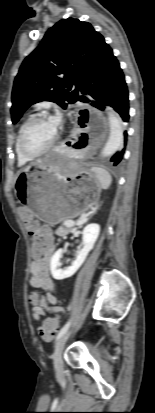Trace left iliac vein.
I'll return each instance as SVG.
<instances>
[{"label": "left iliac vein", "instance_id": "obj_1", "mask_svg": "<svg viewBox=\"0 0 155 413\" xmlns=\"http://www.w3.org/2000/svg\"><path fill=\"white\" fill-rule=\"evenodd\" d=\"M71 331H66L57 341L53 353V363L54 369L58 376H62L64 369H63V360H62V352L66 341L68 340Z\"/></svg>", "mask_w": 155, "mask_h": 413}]
</instances>
